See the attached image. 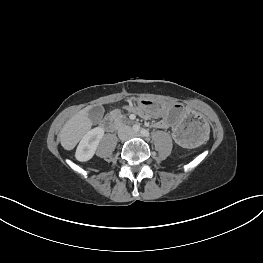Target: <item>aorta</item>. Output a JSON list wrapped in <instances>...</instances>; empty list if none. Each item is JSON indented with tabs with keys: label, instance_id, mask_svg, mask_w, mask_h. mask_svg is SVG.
I'll return each mask as SVG.
<instances>
[{
	"label": "aorta",
	"instance_id": "aorta-1",
	"mask_svg": "<svg viewBox=\"0 0 263 263\" xmlns=\"http://www.w3.org/2000/svg\"><path fill=\"white\" fill-rule=\"evenodd\" d=\"M133 129H134V131H138V130L140 129V126L134 125V126H133Z\"/></svg>",
	"mask_w": 263,
	"mask_h": 263
}]
</instances>
